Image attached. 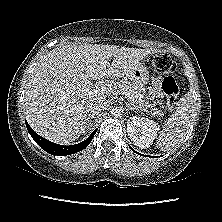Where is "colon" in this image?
Wrapping results in <instances>:
<instances>
[{
  "instance_id": "obj_1",
  "label": "colon",
  "mask_w": 222,
  "mask_h": 222,
  "mask_svg": "<svg viewBox=\"0 0 222 222\" xmlns=\"http://www.w3.org/2000/svg\"><path fill=\"white\" fill-rule=\"evenodd\" d=\"M153 66L158 72L167 74L161 83V90L166 97V106L173 109L179 89L171 74L176 72L177 65L168 54L158 53L153 58Z\"/></svg>"
}]
</instances>
